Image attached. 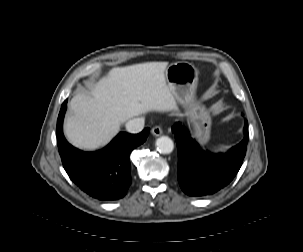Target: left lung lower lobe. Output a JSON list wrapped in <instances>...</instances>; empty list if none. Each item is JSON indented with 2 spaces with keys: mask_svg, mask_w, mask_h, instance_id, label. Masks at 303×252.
<instances>
[{
  "mask_svg": "<svg viewBox=\"0 0 303 252\" xmlns=\"http://www.w3.org/2000/svg\"><path fill=\"white\" fill-rule=\"evenodd\" d=\"M178 149L177 178L182 190L190 196L213 194L228 185L239 171L246 154L248 122L244 138L226 154L204 151L180 122L172 127Z\"/></svg>",
  "mask_w": 303,
  "mask_h": 252,
  "instance_id": "left-lung-lower-lobe-1",
  "label": "left lung lower lobe"
}]
</instances>
